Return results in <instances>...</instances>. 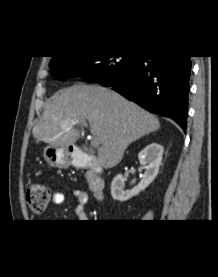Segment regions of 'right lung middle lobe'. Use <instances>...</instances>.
Returning a JSON list of instances; mask_svg holds the SVG:
<instances>
[{"mask_svg": "<svg viewBox=\"0 0 218 277\" xmlns=\"http://www.w3.org/2000/svg\"><path fill=\"white\" fill-rule=\"evenodd\" d=\"M140 56H60L51 60L52 75L67 78L82 75L88 81L119 80L139 60Z\"/></svg>", "mask_w": 218, "mask_h": 277, "instance_id": "right-lung-middle-lobe-1", "label": "right lung middle lobe"}]
</instances>
